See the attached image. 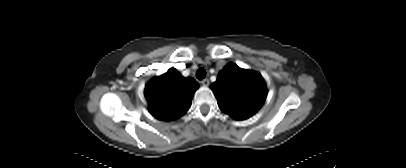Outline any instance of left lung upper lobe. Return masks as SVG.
I'll return each mask as SVG.
<instances>
[{
    "mask_svg": "<svg viewBox=\"0 0 406 168\" xmlns=\"http://www.w3.org/2000/svg\"><path fill=\"white\" fill-rule=\"evenodd\" d=\"M220 109L231 117L243 120L255 114L267 96L262 76L233 63L227 64L211 85Z\"/></svg>",
    "mask_w": 406,
    "mask_h": 168,
    "instance_id": "left-lung-upper-lobe-1",
    "label": "left lung upper lobe"
}]
</instances>
